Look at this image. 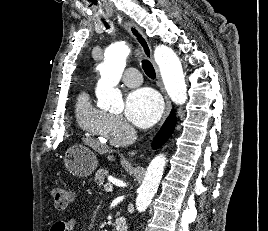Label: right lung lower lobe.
I'll use <instances>...</instances> for the list:
<instances>
[{
    "label": "right lung lower lobe",
    "instance_id": "98d812e1",
    "mask_svg": "<svg viewBox=\"0 0 268 231\" xmlns=\"http://www.w3.org/2000/svg\"><path fill=\"white\" fill-rule=\"evenodd\" d=\"M175 123H176V116L175 113L172 111L167 120L165 121L163 127L155 137V140L153 142L154 149L160 147L169 139V137L173 133Z\"/></svg>",
    "mask_w": 268,
    "mask_h": 231
}]
</instances>
